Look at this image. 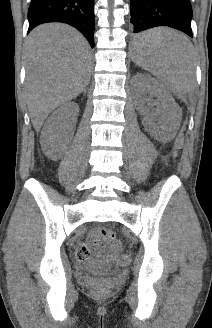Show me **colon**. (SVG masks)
Wrapping results in <instances>:
<instances>
[{
	"mask_svg": "<svg viewBox=\"0 0 212 328\" xmlns=\"http://www.w3.org/2000/svg\"><path fill=\"white\" fill-rule=\"evenodd\" d=\"M100 234L113 249L119 251L122 248L121 242L119 241V239L117 238L116 234L113 231L106 228H102L100 230ZM77 256L79 259L86 258V254L84 251H78ZM129 260L130 259L128 255H122L119 258V264L126 265L129 263ZM92 291L95 295H103L106 292V288L101 284H96L92 287Z\"/></svg>",
	"mask_w": 212,
	"mask_h": 328,
	"instance_id": "obj_1",
	"label": "colon"
}]
</instances>
